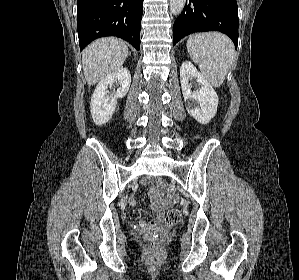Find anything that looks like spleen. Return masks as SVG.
Returning <instances> with one entry per match:
<instances>
[{
	"mask_svg": "<svg viewBox=\"0 0 299 280\" xmlns=\"http://www.w3.org/2000/svg\"><path fill=\"white\" fill-rule=\"evenodd\" d=\"M186 46L205 79L214 87L222 85L235 61L232 41L221 33H199L190 36Z\"/></svg>",
	"mask_w": 299,
	"mask_h": 280,
	"instance_id": "1",
	"label": "spleen"
}]
</instances>
